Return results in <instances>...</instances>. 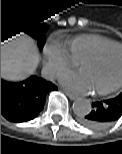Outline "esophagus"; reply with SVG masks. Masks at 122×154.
<instances>
[{
  "label": "esophagus",
  "mask_w": 122,
  "mask_h": 154,
  "mask_svg": "<svg viewBox=\"0 0 122 154\" xmlns=\"http://www.w3.org/2000/svg\"><path fill=\"white\" fill-rule=\"evenodd\" d=\"M63 91L71 100H75V99L78 98V96L76 94H73V93H71V92H69V91H67L65 89Z\"/></svg>",
  "instance_id": "obj_1"
}]
</instances>
